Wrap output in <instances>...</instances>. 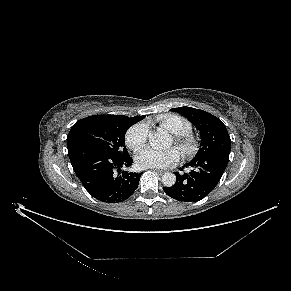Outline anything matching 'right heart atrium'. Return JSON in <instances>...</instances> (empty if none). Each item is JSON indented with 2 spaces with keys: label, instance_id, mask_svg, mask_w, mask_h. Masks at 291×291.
<instances>
[{
  "label": "right heart atrium",
  "instance_id": "d8ad5b80",
  "mask_svg": "<svg viewBox=\"0 0 291 291\" xmlns=\"http://www.w3.org/2000/svg\"><path fill=\"white\" fill-rule=\"evenodd\" d=\"M148 127L145 123H137L129 128L126 133L125 141L132 150H139L147 141Z\"/></svg>",
  "mask_w": 291,
  "mask_h": 291
}]
</instances>
